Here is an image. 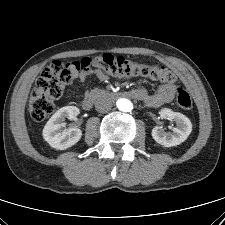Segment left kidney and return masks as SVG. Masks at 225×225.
<instances>
[{"label": "left kidney", "mask_w": 225, "mask_h": 225, "mask_svg": "<svg viewBox=\"0 0 225 225\" xmlns=\"http://www.w3.org/2000/svg\"><path fill=\"white\" fill-rule=\"evenodd\" d=\"M162 118L169 121H175L177 127H173V133H166L162 127H154L152 130L153 139L164 147H173L184 142L192 131V124L190 120L179 112H173L170 109H162L159 112Z\"/></svg>", "instance_id": "obj_1"}]
</instances>
